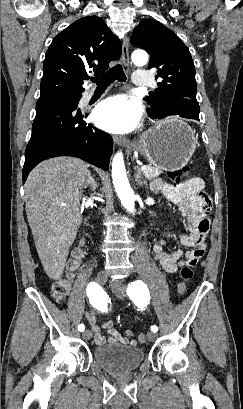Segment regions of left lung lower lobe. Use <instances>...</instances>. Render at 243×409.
Returning <instances> with one entry per match:
<instances>
[{
	"instance_id": "1",
	"label": "left lung lower lobe",
	"mask_w": 243,
	"mask_h": 409,
	"mask_svg": "<svg viewBox=\"0 0 243 409\" xmlns=\"http://www.w3.org/2000/svg\"><path fill=\"white\" fill-rule=\"evenodd\" d=\"M188 109H189V108H188ZM185 110H187V108H185V107H179V108H176V109L167 111V115H166V116H168V115H180V116L185 117V118L199 120V112H189V113H185V112H184ZM149 116H150L151 118H153V119H154V118H162V117H157V115H155V114H153V115H150V114H149Z\"/></svg>"
}]
</instances>
